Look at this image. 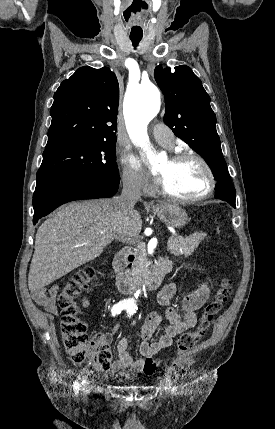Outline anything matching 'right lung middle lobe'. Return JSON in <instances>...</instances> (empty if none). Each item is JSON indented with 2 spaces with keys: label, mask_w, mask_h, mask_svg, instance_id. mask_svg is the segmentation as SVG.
<instances>
[{
  "label": "right lung middle lobe",
  "mask_w": 275,
  "mask_h": 429,
  "mask_svg": "<svg viewBox=\"0 0 275 429\" xmlns=\"http://www.w3.org/2000/svg\"><path fill=\"white\" fill-rule=\"evenodd\" d=\"M115 140L91 144H68L44 152L41 167L36 175L35 190L76 177H97L119 183Z\"/></svg>",
  "instance_id": "dd1d6c3e"
}]
</instances>
